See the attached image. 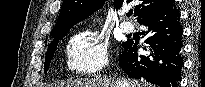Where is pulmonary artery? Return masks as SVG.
<instances>
[{"label": "pulmonary artery", "instance_id": "pulmonary-artery-1", "mask_svg": "<svg viewBox=\"0 0 205 87\" xmlns=\"http://www.w3.org/2000/svg\"><path fill=\"white\" fill-rule=\"evenodd\" d=\"M120 28H121V30H122L123 32H125V33H131V32L134 31V26H133V24L130 23V22H126V21H124V22H122V23L120 24Z\"/></svg>", "mask_w": 205, "mask_h": 87}]
</instances>
